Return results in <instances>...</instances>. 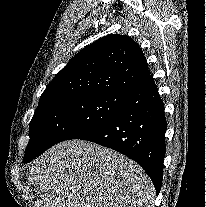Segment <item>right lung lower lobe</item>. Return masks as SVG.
Masks as SVG:
<instances>
[{"label":"right lung lower lobe","mask_w":206,"mask_h":207,"mask_svg":"<svg viewBox=\"0 0 206 207\" xmlns=\"http://www.w3.org/2000/svg\"><path fill=\"white\" fill-rule=\"evenodd\" d=\"M125 95L126 102L119 112L76 139L95 142L136 161L149 175L158 194L166 152L164 103L152 76L133 86ZM36 157L23 159V162Z\"/></svg>","instance_id":"1"}]
</instances>
